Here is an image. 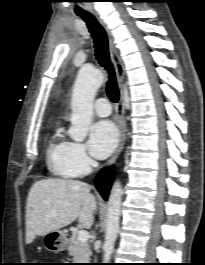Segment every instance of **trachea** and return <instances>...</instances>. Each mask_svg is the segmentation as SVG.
I'll list each match as a JSON object with an SVG mask.
<instances>
[{"mask_svg": "<svg viewBox=\"0 0 205 265\" xmlns=\"http://www.w3.org/2000/svg\"><path fill=\"white\" fill-rule=\"evenodd\" d=\"M79 16L86 22L89 32L94 39L95 56L99 64L104 67L108 72L106 85V92L108 97L116 103L119 100V89L117 86L116 78L108 51V38L104 28L91 14H79Z\"/></svg>", "mask_w": 205, "mask_h": 265, "instance_id": "3493384b", "label": "trachea"}]
</instances>
